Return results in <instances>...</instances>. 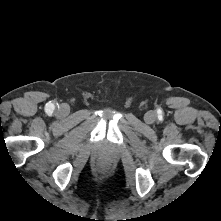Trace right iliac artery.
<instances>
[{
    "instance_id": "right-iliac-artery-1",
    "label": "right iliac artery",
    "mask_w": 221,
    "mask_h": 221,
    "mask_svg": "<svg viewBox=\"0 0 221 221\" xmlns=\"http://www.w3.org/2000/svg\"><path fill=\"white\" fill-rule=\"evenodd\" d=\"M47 113H49V114H52L53 113V110H54V105L53 104H49L48 106H47Z\"/></svg>"
}]
</instances>
